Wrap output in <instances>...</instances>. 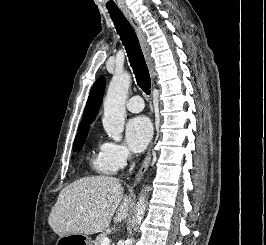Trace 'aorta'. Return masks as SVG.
<instances>
[{"label":"aorta","instance_id":"762f6f07","mask_svg":"<svg viewBox=\"0 0 266 245\" xmlns=\"http://www.w3.org/2000/svg\"><path fill=\"white\" fill-rule=\"evenodd\" d=\"M130 82L131 76L129 72H115L103 102L104 114L102 123L104 131L115 143L122 141L126 116L125 100L128 96ZM147 191L146 189H141L139 203L136 205L135 217L132 223L133 233L137 231L138 225H140L146 213ZM133 243L134 237L133 239H128L127 245H133Z\"/></svg>","mask_w":266,"mask_h":245}]
</instances>
